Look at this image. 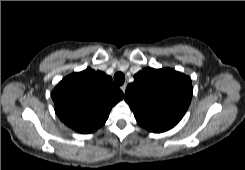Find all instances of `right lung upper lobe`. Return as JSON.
<instances>
[{
    "instance_id": "1",
    "label": "right lung upper lobe",
    "mask_w": 245,
    "mask_h": 170,
    "mask_svg": "<svg viewBox=\"0 0 245 170\" xmlns=\"http://www.w3.org/2000/svg\"><path fill=\"white\" fill-rule=\"evenodd\" d=\"M51 96L61 121L84 134L103 126L112 107L123 99L110 76L91 68L62 79Z\"/></svg>"
}]
</instances>
